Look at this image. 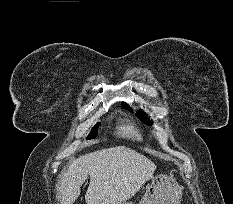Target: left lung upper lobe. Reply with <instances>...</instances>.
<instances>
[{
    "label": "left lung upper lobe",
    "instance_id": "obj_1",
    "mask_svg": "<svg viewBox=\"0 0 233 204\" xmlns=\"http://www.w3.org/2000/svg\"><path fill=\"white\" fill-rule=\"evenodd\" d=\"M123 107H126L128 110L132 111V109L130 107H128V105L126 103H122ZM136 115L140 118V120H142L143 122H145L148 125H151V122L149 121V119L146 117L145 113L142 112L141 110H138L136 112Z\"/></svg>",
    "mask_w": 233,
    "mask_h": 204
}]
</instances>
